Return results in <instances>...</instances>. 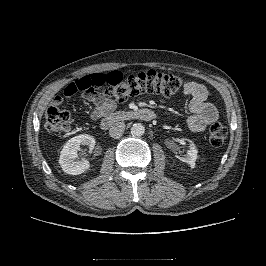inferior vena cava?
<instances>
[{
	"instance_id": "602c4592",
	"label": "inferior vena cava",
	"mask_w": 266,
	"mask_h": 266,
	"mask_svg": "<svg viewBox=\"0 0 266 266\" xmlns=\"http://www.w3.org/2000/svg\"><path fill=\"white\" fill-rule=\"evenodd\" d=\"M125 130V124L123 122L114 123L109 129V135L112 138H120Z\"/></svg>"
}]
</instances>
